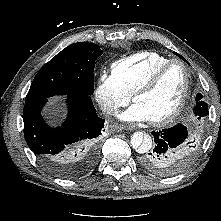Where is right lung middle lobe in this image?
I'll use <instances>...</instances> for the list:
<instances>
[{
    "label": "right lung middle lobe",
    "mask_w": 221,
    "mask_h": 221,
    "mask_svg": "<svg viewBox=\"0 0 221 221\" xmlns=\"http://www.w3.org/2000/svg\"><path fill=\"white\" fill-rule=\"evenodd\" d=\"M102 53L103 50L93 43L69 45L40 69L25 101H39L55 95H92L95 60Z\"/></svg>",
    "instance_id": "1"
}]
</instances>
